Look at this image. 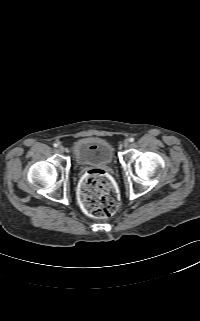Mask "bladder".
<instances>
[{
	"mask_svg": "<svg viewBox=\"0 0 200 321\" xmlns=\"http://www.w3.org/2000/svg\"><path fill=\"white\" fill-rule=\"evenodd\" d=\"M74 160L79 165L110 164L114 161L115 150L111 142L100 137H86L72 146Z\"/></svg>",
	"mask_w": 200,
	"mask_h": 321,
	"instance_id": "bladder-1",
	"label": "bladder"
}]
</instances>
